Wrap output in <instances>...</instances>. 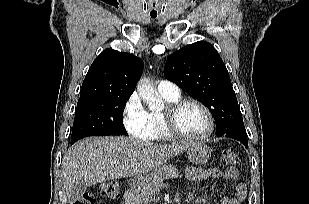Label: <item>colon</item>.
<instances>
[{"label": "colon", "mask_w": 309, "mask_h": 204, "mask_svg": "<svg viewBox=\"0 0 309 204\" xmlns=\"http://www.w3.org/2000/svg\"><path fill=\"white\" fill-rule=\"evenodd\" d=\"M220 163L225 167H232L238 163V157L233 148L229 147L222 151ZM101 194L108 199H116L120 195V188L116 182H105L101 187ZM73 204H95L94 196L90 193L83 194Z\"/></svg>", "instance_id": "1"}]
</instances>
